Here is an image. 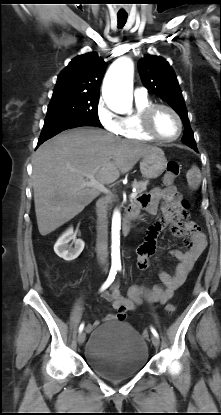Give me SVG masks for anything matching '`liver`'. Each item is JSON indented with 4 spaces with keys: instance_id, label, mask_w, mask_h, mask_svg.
Returning <instances> with one entry per match:
<instances>
[{
    "instance_id": "1",
    "label": "liver",
    "mask_w": 221,
    "mask_h": 415,
    "mask_svg": "<svg viewBox=\"0 0 221 415\" xmlns=\"http://www.w3.org/2000/svg\"><path fill=\"white\" fill-rule=\"evenodd\" d=\"M158 147L115 137L94 128L64 131L43 143L33 155L32 181L38 230L42 236L68 222L92 202L97 189L85 186L115 182L120 173Z\"/></svg>"
}]
</instances>
